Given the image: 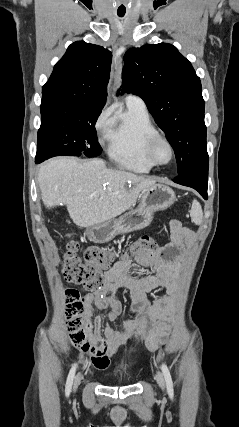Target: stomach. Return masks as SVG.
Here are the masks:
<instances>
[{
  "mask_svg": "<svg viewBox=\"0 0 239 427\" xmlns=\"http://www.w3.org/2000/svg\"><path fill=\"white\" fill-rule=\"evenodd\" d=\"M175 201V193L169 186L153 184L144 191L141 203L136 209L118 219H110L89 227L86 235L94 243L109 242L119 234L147 227L152 222L155 212L169 208Z\"/></svg>",
  "mask_w": 239,
  "mask_h": 427,
  "instance_id": "obj_1",
  "label": "stomach"
}]
</instances>
